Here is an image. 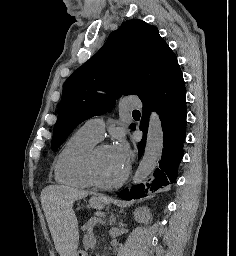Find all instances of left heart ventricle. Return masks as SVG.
<instances>
[{
  "mask_svg": "<svg viewBox=\"0 0 236 256\" xmlns=\"http://www.w3.org/2000/svg\"><path fill=\"white\" fill-rule=\"evenodd\" d=\"M96 164L100 177L104 181H113L117 179L124 171L125 165L115 161L110 153L109 147L98 151L96 155Z\"/></svg>",
  "mask_w": 236,
  "mask_h": 256,
  "instance_id": "left-heart-ventricle-1",
  "label": "left heart ventricle"
}]
</instances>
